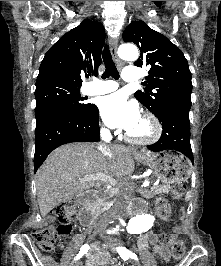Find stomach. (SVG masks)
I'll return each mask as SVG.
<instances>
[{
    "instance_id": "0dacf381",
    "label": "stomach",
    "mask_w": 221,
    "mask_h": 266,
    "mask_svg": "<svg viewBox=\"0 0 221 266\" xmlns=\"http://www.w3.org/2000/svg\"><path fill=\"white\" fill-rule=\"evenodd\" d=\"M138 159L150 163L156 176L167 184L183 183L192 172L191 163L178 153L160 152Z\"/></svg>"
}]
</instances>
